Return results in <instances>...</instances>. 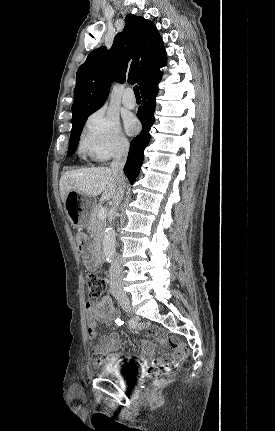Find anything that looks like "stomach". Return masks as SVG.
Here are the masks:
<instances>
[{"label": "stomach", "mask_w": 275, "mask_h": 431, "mask_svg": "<svg viewBox=\"0 0 275 431\" xmlns=\"http://www.w3.org/2000/svg\"><path fill=\"white\" fill-rule=\"evenodd\" d=\"M94 205V199L76 191H69L64 202L69 221L78 228L87 226Z\"/></svg>", "instance_id": "obj_1"}]
</instances>
